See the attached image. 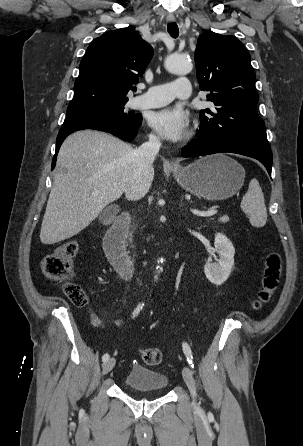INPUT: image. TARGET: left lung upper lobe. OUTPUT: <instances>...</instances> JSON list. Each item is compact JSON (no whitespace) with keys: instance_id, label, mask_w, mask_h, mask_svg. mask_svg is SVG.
I'll return each instance as SVG.
<instances>
[{"instance_id":"obj_1","label":"left lung upper lobe","mask_w":303,"mask_h":446,"mask_svg":"<svg viewBox=\"0 0 303 446\" xmlns=\"http://www.w3.org/2000/svg\"><path fill=\"white\" fill-rule=\"evenodd\" d=\"M194 58L199 87L211 92L207 98L215 105L201 110L199 134L268 144L257 113L256 76L243 44L231 35L207 31L198 38Z\"/></svg>"}]
</instances>
